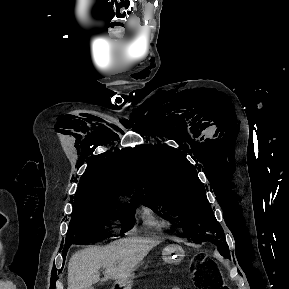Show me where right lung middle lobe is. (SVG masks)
I'll return each instance as SVG.
<instances>
[{"instance_id": "right-lung-middle-lobe-1", "label": "right lung middle lobe", "mask_w": 289, "mask_h": 289, "mask_svg": "<svg viewBox=\"0 0 289 289\" xmlns=\"http://www.w3.org/2000/svg\"><path fill=\"white\" fill-rule=\"evenodd\" d=\"M73 205L65 251L72 243H93L113 236L108 232L110 220L121 221V233L130 230L134 225V209L138 201L115 198L84 199L75 200Z\"/></svg>"}]
</instances>
